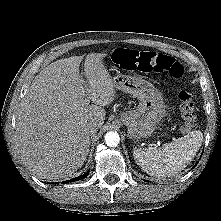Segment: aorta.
<instances>
[{
	"label": "aorta",
	"mask_w": 221,
	"mask_h": 221,
	"mask_svg": "<svg viewBox=\"0 0 221 221\" xmlns=\"http://www.w3.org/2000/svg\"><path fill=\"white\" fill-rule=\"evenodd\" d=\"M105 142L107 146H110V147L117 146L120 142L119 134L113 131L107 132L105 135Z\"/></svg>",
	"instance_id": "1"
}]
</instances>
